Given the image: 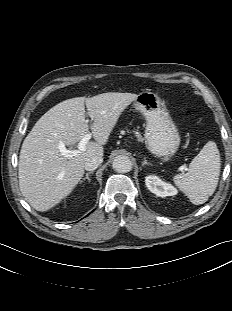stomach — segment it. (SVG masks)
I'll use <instances>...</instances> for the list:
<instances>
[{"instance_id":"0dacf381","label":"stomach","mask_w":232,"mask_h":311,"mask_svg":"<svg viewBox=\"0 0 232 311\" xmlns=\"http://www.w3.org/2000/svg\"><path fill=\"white\" fill-rule=\"evenodd\" d=\"M133 105L145 117L148 150L156 157L173 156L179 148L180 135L164 101L153 92H142Z\"/></svg>"}]
</instances>
